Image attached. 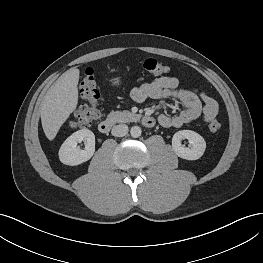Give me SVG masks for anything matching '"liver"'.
<instances>
[{
	"label": "liver",
	"instance_id": "liver-1",
	"mask_svg": "<svg viewBox=\"0 0 263 263\" xmlns=\"http://www.w3.org/2000/svg\"><path fill=\"white\" fill-rule=\"evenodd\" d=\"M79 69L70 68L50 87L40 108L41 123L52 141L78 104Z\"/></svg>",
	"mask_w": 263,
	"mask_h": 263
}]
</instances>
